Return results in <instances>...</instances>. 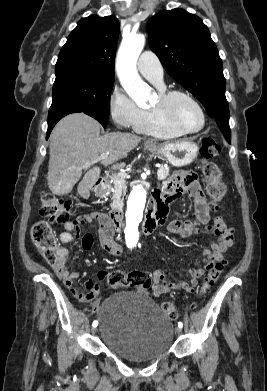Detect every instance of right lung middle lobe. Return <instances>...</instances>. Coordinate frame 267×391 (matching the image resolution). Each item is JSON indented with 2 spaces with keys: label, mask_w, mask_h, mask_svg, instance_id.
Here are the masks:
<instances>
[{
  "label": "right lung middle lobe",
  "mask_w": 267,
  "mask_h": 391,
  "mask_svg": "<svg viewBox=\"0 0 267 391\" xmlns=\"http://www.w3.org/2000/svg\"><path fill=\"white\" fill-rule=\"evenodd\" d=\"M115 75L74 72L56 76L48 117L68 108L95 111L109 118Z\"/></svg>",
  "instance_id": "obj_1"
}]
</instances>
